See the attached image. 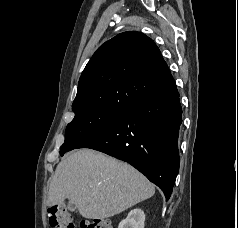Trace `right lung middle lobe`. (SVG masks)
Wrapping results in <instances>:
<instances>
[{"instance_id":"right-lung-middle-lobe-1","label":"right lung middle lobe","mask_w":238,"mask_h":228,"mask_svg":"<svg viewBox=\"0 0 238 228\" xmlns=\"http://www.w3.org/2000/svg\"><path fill=\"white\" fill-rule=\"evenodd\" d=\"M127 108H87L74 112L75 117L67 125L65 141L60 155L77 148L114 122Z\"/></svg>"}]
</instances>
